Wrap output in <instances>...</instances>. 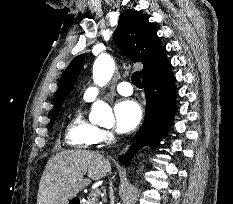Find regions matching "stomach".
<instances>
[{"label": "stomach", "instance_id": "0dacf381", "mask_svg": "<svg viewBox=\"0 0 233 204\" xmlns=\"http://www.w3.org/2000/svg\"><path fill=\"white\" fill-rule=\"evenodd\" d=\"M70 203V201L67 203V204H69ZM80 204H82L81 202H79Z\"/></svg>", "mask_w": 233, "mask_h": 204}]
</instances>
